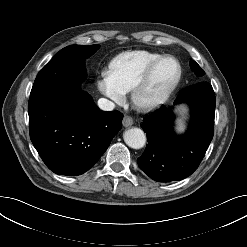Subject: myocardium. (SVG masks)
Listing matches in <instances>:
<instances>
[{
    "mask_svg": "<svg viewBox=\"0 0 247 247\" xmlns=\"http://www.w3.org/2000/svg\"><path fill=\"white\" fill-rule=\"evenodd\" d=\"M164 60H172L177 66V74L172 83L160 94L153 98L144 99V92L152 78L157 66ZM182 77V67L180 62L173 56L163 55L154 60L132 89V102L141 111H150L164 103L178 86Z\"/></svg>",
    "mask_w": 247,
    "mask_h": 247,
    "instance_id": "myocardium-1",
    "label": "myocardium"
}]
</instances>
